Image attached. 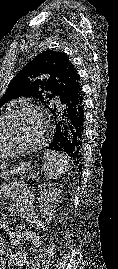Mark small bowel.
<instances>
[{
    "label": "small bowel",
    "mask_w": 118,
    "mask_h": 269,
    "mask_svg": "<svg viewBox=\"0 0 118 269\" xmlns=\"http://www.w3.org/2000/svg\"><path fill=\"white\" fill-rule=\"evenodd\" d=\"M7 189L8 187L4 186L2 187L1 191H4L6 194ZM17 197H18L17 202L11 203L7 209L8 216L13 217L22 214L26 215L28 212H30L27 216V220H29L34 225L36 231L25 230L18 232H9L11 245L17 246L24 241H29L34 248H39L41 251H45L46 249L44 248L45 236L42 235L40 232H37L40 230H44L45 226L36 216H33L32 213L34 195L28 190L26 192L20 193ZM0 254L5 258V261L3 262L4 267L7 266L10 267L13 266V264L15 266L22 267L26 263L28 264V257L26 252L16 250L15 253H12L11 249L6 246V242L3 241L0 242ZM6 257L8 259H6Z\"/></svg>",
    "instance_id": "obj_1"
}]
</instances>
